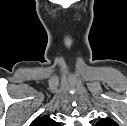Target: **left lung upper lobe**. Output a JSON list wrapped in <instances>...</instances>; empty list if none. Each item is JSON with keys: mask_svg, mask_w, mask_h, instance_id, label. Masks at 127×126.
I'll return each mask as SVG.
<instances>
[{"mask_svg": "<svg viewBox=\"0 0 127 126\" xmlns=\"http://www.w3.org/2000/svg\"><path fill=\"white\" fill-rule=\"evenodd\" d=\"M96 126H118V124L110 118H102Z\"/></svg>", "mask_w": 127, "mask_h": 126, "instance_id": "1", "label": "left lung upper lobe"}]
</instances>
